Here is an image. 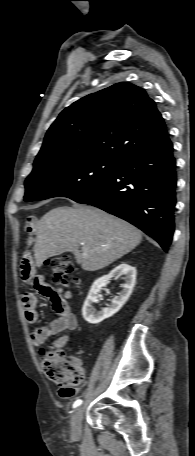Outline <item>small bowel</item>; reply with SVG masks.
Listing matches in <instances>:
<instances>
[{"instance_id":"1","label":"small bowel","mask_w":195,"mask_h":456,"mask_svg":"<svg viewBox=\"0 0 195 456\" xmlns=\"http://www.w3.org/2000/svg\"><path fill=\"white\" fill-rule=\"evenodd\" d=\"M36 229V219L32 216L28 217L24 223V231L28 236V243L32 241ZM21 277L25 282H32L37 292L49 299L52 303L54 311L57 313V318L36 328L31 333V341L35 346H41L53 336L64 332L73 331L78 327V319L71 310L68 300L72 294L62 288H55L48 284L44 275L35 274L32 257L29 252H26L21 263ZM24 309L25 319L28 323L33 324L37 320V297L33 293H25L21 299ZM70 340V335L65 334L57 338L53 342V347L56 349L62 348ZM78 388L58 389V395L63 399H71L78 393Z\"/></svg>"}]
</instances>
